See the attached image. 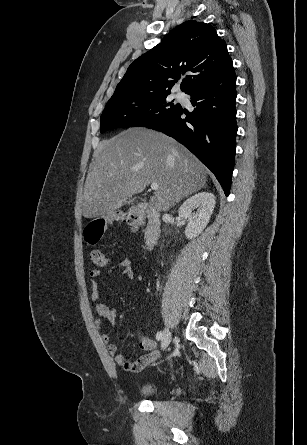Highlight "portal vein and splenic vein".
Masks as SVG:
<instances>
[{"label":"portal vein and splenic vein","mask_w":307,"mask_h":445,"mask_svg":"<svg viewBox=\"0 0 307 445\" xmlns=\"http://www.w3.org/2000/svg\"><path fill=\"white\" fill-rule=\"evenodd\" d=\"M150 186L151 188H153V190H158L159 188L158 182H151Z\"/></svg>","instance_id":"portal-vein-and-splenic-vein-1"}]
</instances>
